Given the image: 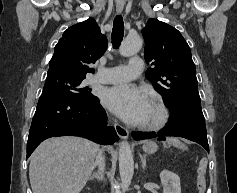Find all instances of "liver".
Wrapping results in <instances>:
<instances>
[{
	"label": "liver",
	"instance_id": "6515ba94",
	"mask_svg": "<svg viewBox=\"0 0 237 193\" xmlns=\"http://www.w3.org/2000/svg\"><path fill=\"white\" fill-rule=\"evenodd\" d=\"M97 151L95 143L79 137L45 140L30 159L33 193H80L91 176Z\"/></svg>",
	"mask_w": 237,
	"mask_h": 193
}]
</instances>
